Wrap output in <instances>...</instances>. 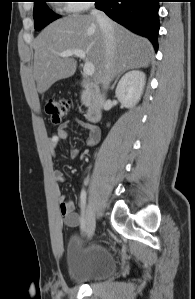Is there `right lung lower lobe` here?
<instances>
[{
  "mask_svg": "<svg viewBox=\"0 0 195 299\" xmlns=\"http://www.w3.org/2000/svg\"><path fill=\"white\" fill-rule=\"evenodd\" d=\"M160 0H95L96 8L134 33L147 37L158 49Z\"/></svg>",
  "mask_w": 195,
  "mask_h": 299,
  "instance_id": "98d812e1",
  "label": "right lung lower lobe"
}]
</instances>
